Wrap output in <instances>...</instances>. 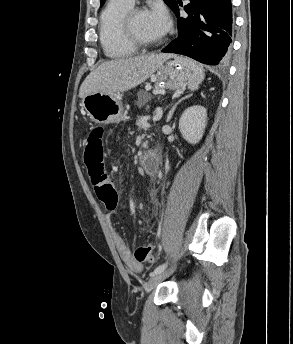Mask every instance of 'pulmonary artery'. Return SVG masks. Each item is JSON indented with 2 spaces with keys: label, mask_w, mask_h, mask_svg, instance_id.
I'll return each instance as SVG.
<instances>
[{
  "label": "pulmonary artery",
  "mask_w": 293,
  "mask_h": 344,
  "mask_svg": "<svg viewBox=\"0 0 293 344\" xmlns=\"http://www.w3.org/2000/svg\"><path fill=\"white\" fill-rule=\"evenodd\" d=\"M121 1H125V2H128L130 4H133L135 0H121Z\"/></svg>",
  "instance_id": "e3ab8cb5"
}]
</instances>
